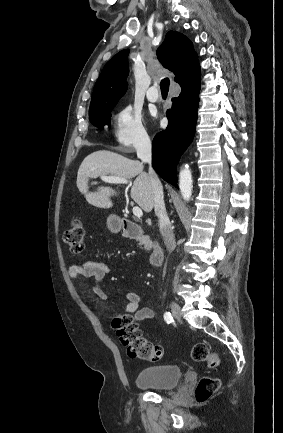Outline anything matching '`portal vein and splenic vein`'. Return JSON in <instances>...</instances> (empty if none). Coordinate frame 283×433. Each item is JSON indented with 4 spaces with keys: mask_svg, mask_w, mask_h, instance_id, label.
<instances>
[{
    "mask_svg": "<svg viewBox=\"0 0 283 433\" xmlns=\"http://www.w3.org/2000/svg\"><path fill=\"white\" fill-rule=\"evenodd\" d=\"M100 178L104 180V182H120V184H128V180L126 178H119V176H103V174H100ZM133 214H135V217H143V212L139 206H133L132 208Z\"/></svg>",
    "mask_w": 283,
    "mask_h": 433,
    "instance_id": "1",
    "label": "portal vein and splenic vein"
}]
</instances>
